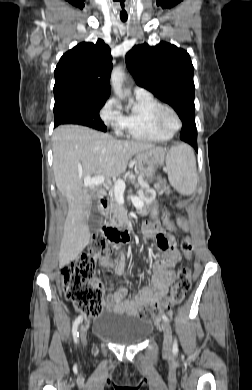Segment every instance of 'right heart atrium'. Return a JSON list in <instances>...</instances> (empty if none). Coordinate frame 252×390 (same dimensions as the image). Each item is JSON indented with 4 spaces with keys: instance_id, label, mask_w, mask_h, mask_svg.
<instances>
[{
    "instance_id": "obj_1",
    "label": "right heart atrium",
    "mask_w": 252,
    "mask_h": 390,
    "mask_svg": "<svg viewBox=\"0 0 252 390\" xmlns=\"http://www.w3.org/2000/svg\"><path fill=\"white\" fill-rule=\"evenodd\" d=\"M100 117L105 124L111 126L116 132L121 131L123 115L116 99L110 98L106 101L100 110Z\"/></svg>"
}]
</instances>
